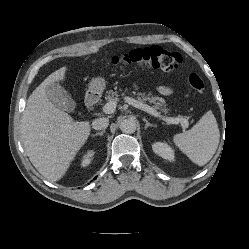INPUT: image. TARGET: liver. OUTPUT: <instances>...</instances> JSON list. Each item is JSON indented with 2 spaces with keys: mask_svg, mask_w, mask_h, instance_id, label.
Instances as JSON below:
<instances>
[{
  "mask_svg": "<svg viewBox=\"0 0 249 249\" xmlns=\"http://www.w3.org/2000/svg\"><path fill=\"white\" fill-rule=\"evenodd\" d=\"M67 67L51 73L29 96L21 117V134L27 156L49 181L61 179L90 135L88 121H73L47 97L51 83L65 79Z\"/></svg>",
  "mask_w": 249,
  "mask_h": 249,
  "instance_id": "6515ba94",
  "label": "liver"
}]
</instances>
